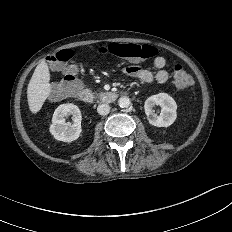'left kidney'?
<instances>
[{"instance_id":"left-kidney-1","label":"left kidney","mask_w":232,"mask_h":232,"mask_svg":"<svg viewBox=\"0 0 232 232\" xmlns=\"http://www.w3.org/2000/svg\"><path fill=\"white\" fill-rule=\"evenodd\" d=\"M159 105L161 114L157 115L153 111V107ZM145 114L149 123L156 127H168L174 123L177 114V105L174 99L167 93H159L150 96L144 104Z\"/></svg>"}]
</instances>
